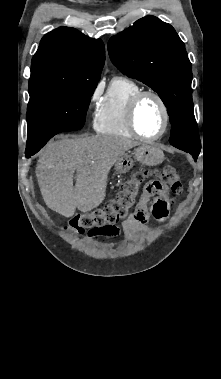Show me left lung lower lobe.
Masks as SVG:
<instances>
[{"mask_svg":"<svg viewBox=\"0 0 221 379\" xmlns=\"http://www.w3.org/2000/svg\"><path fill=\"white\" fill-rule=\"evenodd\" d=\"M193 158L196 160V159H197V156H193Z\"/></svg>","mask_w":221,"mask_h":379,"instance_id":"obj_1","label":"left lung lower lobe"}]
</instances>
